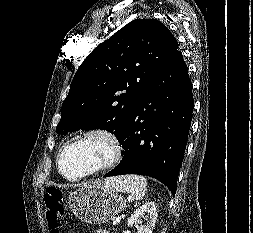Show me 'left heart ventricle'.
<instances>
[{"mask_svg":"<svg viewBox=\"0 0 253 233\" xmlns=\"http://www.w3.org/2000/svg\"><path fill=\"white\" fill-rule=\"evenodd\" d=\"M109 155L110 146L106 141L84 140L73 144L63 154L62 170L68 176H78L104 163Z\"/></svg>","mask_w":253,"mask_h":233,"instance_id":"b2bd125f","label":"left heart ventricle"}]
</instances>
